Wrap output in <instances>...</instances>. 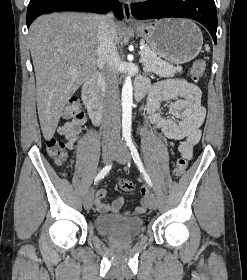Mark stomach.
Instances as JSON below:
<instances>
[{
  "mask_svg": "<svg viewBox=\"0 0 247 280\" xmlns=\"http://www.w3.org/2000/svg\"><path fill=\"white\" fill-rule=\"evenodd\" d=\"M135 31L158 57L177 65L193 60L203 45L202 32L191 20L171 18L143 22Z\"/></svg>",
  "mask_w": 247,
  "mask_h": 280,
  "instance_id": "stomach-1",
  "label": "stomach"
}]
</instances>
